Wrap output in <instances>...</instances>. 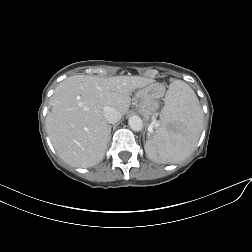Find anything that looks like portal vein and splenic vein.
<instances>
[{
    "label": "portal vein and splenic vein",
    "instance_id": "obj_1",
    "mask_svg": "<svg viewBox=\"0 0 252 252\" xmlns=\"http://www.w3.org/2000/svg\"><path fill=\"white\" fill-rule=\"evenodd\" d=\"M153 126H157L156 121H153V122L151 123L150 128H149V131H150V132L152 131V127H153Z\"/></svg>",
    "mask_w": 252,
    "mask_h": 252
}]
</instances>
